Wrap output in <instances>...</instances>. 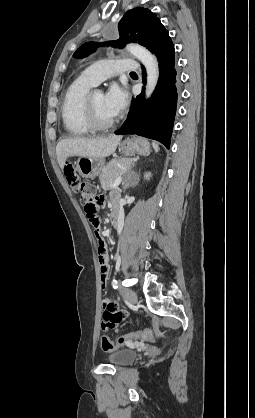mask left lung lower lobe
Listing matches in <instances>:
<instances>
[{"label":"left lung lower lobe","mask_w":255,"mask_h":418,"mask_svg":"<svg viewBox=\"0 0 255 418\" xmlns=\"http://www.w3.org/2000/svg\"><path fill=\"white\" fill-rule=\"evenodd\" d=\"M155 55L159 63V79L154 93L147 102L143 98L144 91L132 100L130 113L115 134H137L169 148L177 104V71L171 38ZM142 69L145 75V69Z\"/></svg>","instance_id":"left-lung-lower-lobe-1"}]
</instances>
